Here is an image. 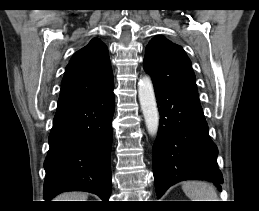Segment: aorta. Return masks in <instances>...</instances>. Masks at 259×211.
Segmentation results:
<instances>
[{
    "label": "aorta",
    "mask_w": 259,
    "mask_h": 211,
    "mask_svg": "<svg viewBox=\"0 0 259 211\" xmlns=\"http://www.w3.org/2000/svg\"><path fill=\"white\" fill-rule=\"evenodd\" d=\"M138 97L145 119L146 127L151 135H155L159 129V111L152 80L149 76L140 79L138 83Z\"/></svg>",
    "instance_id": "obj_1"
}]
</instances>
